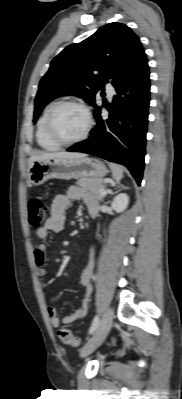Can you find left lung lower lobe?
I'll return each mask as SVG.
<instances>
[{
  "label": "left lung lower lobe",
  "mask_w": 182,
  "mask_h": 399,
  "mask_svg": "<svg viewBox=\"0 0 182 399\" xmlns=\"http://www.w3.org/2000/svg\"><path fill=\"white\" fill-rule=\"evenodd\" d=\"M147 61L116 87L109 118L97 113V125L91 136L67 151L92 154L126 166L140 185L143 170L150 102V79Z\"/></svg>",
  "instance_id": "0a47b994"
}]
</instances>
